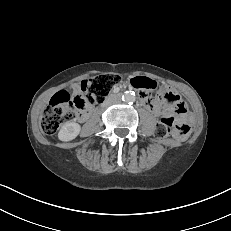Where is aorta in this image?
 <instances>
[{
    "mask_svg": "<svg viewBox=\"0 0 231 231\" xmlns=\"http://www.w3.org/2000/svg\"><path fill=\"white\" fill-rule=\"evenodd\" d=\"M123 99L126 102H134L135 101V95L132 92H126L123 95Z\"/></svg>",
    "mask_w": 231,
    "mask_h": 231,
    "instance_id": "762f6f07",
    "label": "aorta"
}]
</instances>
